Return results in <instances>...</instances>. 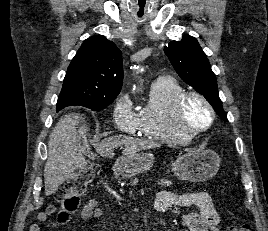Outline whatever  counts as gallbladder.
Instances as JSON below:
<instances>
[{"label": "gallbladder", "instance_id": "bac80fb5", "mask_svg": "<svg viewBox=\"0 0 268 231\" xmlns=\"http://www.w3.org/2000/svg\"><path fill=\"white\" fill-rule=\"evenodd\" d=\"M80 148H81L82 152L85 155H90V151L89 150H86V148L84 147L83 143L80 144Z\"/></svg>", "mask_w": 268, "mask_h": 231}]
</instances>
